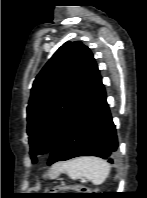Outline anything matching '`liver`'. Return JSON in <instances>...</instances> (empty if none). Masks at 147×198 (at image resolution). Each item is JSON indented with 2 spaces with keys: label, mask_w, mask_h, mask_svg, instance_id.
Instances as JSON below:
<instances>
[{
  "label": "liver",
  "mask_w": 147,
  "mask_h": 198,
  "mask_svg": "<svg viewBox=\"0 0 147 198\" xmlns=\"http://www.w3.org/2000/svg\"><path fill=\"white\" fill-rule=\"evenodd\" d=\"M64 165V163H59V164H56L55 165V167H54V169H53V174H52V177L53 178H55L57 175H58V173L60 172V171H62V166Z\"/></svg>",
  "instance_id": "6515ba94"
}]
</instances>
